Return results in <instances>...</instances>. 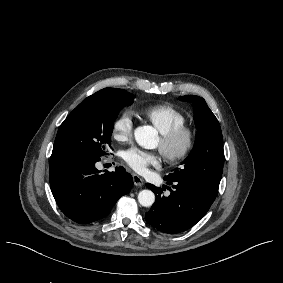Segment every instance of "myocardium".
I'll use <instances>...</instances> for the list:
<instances>
[{
	"mask_svg": "<svg viewBox=\"0 0 283 283\" xmlns=\"http://www.w3.org/2000/svg\"><path fill=\"white\" fill-rule=\"evenodd\" d=\"M160 142V151L166 162L176 165L189 158L196 146L197 134L192 126L183 124L161 135Z\"/></svg>",
	"mask_w": 283,
	"mask_h": 283,
	"instance_id": "f54148a6",
	"label": "myocardium"
}]
</instances>
